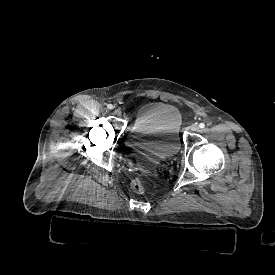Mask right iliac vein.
Returning <instances> with one entry per match:
<instances>
[{
  "mask_svg": "<svg viewBox=\"0 0 275 275\" xmlns=\"http://www.w3.org/2000/svg\"><path fill=\"white\" fill-rule=\"evenodd\" d=\"M114 113H115L116 116H121V111H120V109H115V110H114Z\"/></svg>",
  "mask_w": 275,
  "mask_h": 275,
  "instance_id": "right-iliac-vein-1",
  "label": "right iliac vein"
}]
</instances>
